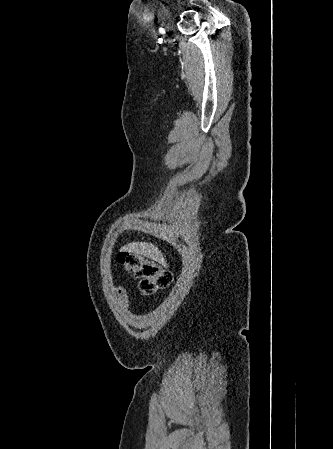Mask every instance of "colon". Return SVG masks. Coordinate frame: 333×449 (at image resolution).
I'll return each instance as SVG.
<instances>
[{
  "mask_svg": "<svg viewBox=\"0 0 333 449\" xmlns=\"http://www.w3.org/2000/svg\"><path fill=\"white\" fill-rule=\"evenodd\" d=\"M117 261L139 280V288L145 294H153L172 283L173 275L170 271L140 254L121 251L117 255Z\"/></svg>",
  "mask_w": 333,
  "mask_h": 449,
  "instance_id": "5ec220e1",
  "label": "colon"
}]
</instances>
